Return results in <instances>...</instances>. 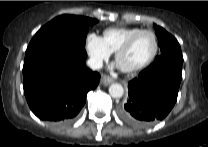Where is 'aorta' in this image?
Wrapping results in <instances>:
<instances>
[{
    "instance_id": "762f6f07",
    "label": "aorta",
    "mask_w": 208,
    "mask_h": 147,
    "mask_svg": "<svg viewBox=\"0 0 208 147\" xmlns=\"http://www.w3.org/2000/svg\"><path fill=\"white\" fill-rule=\"evenodd\" d=\"M109 94L113 98H121L124 94V89L121 84L113 83L109 86Z\"/></svg>"
}]
</instances>
